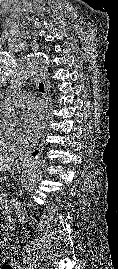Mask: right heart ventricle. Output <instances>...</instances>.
I'll use <instances>...</instances> for the list:
<instances>
[{
  "label": "right heart ventricle",
  "instance_id": "1",
  "mask_svg": "<svg viewBox=\"0 0 118 269\" xmlns=\"http://www.w3.org/2000/svg\"><path fill=\"white\" fill-rule=\"evenodd\" d=\"M15 150H17V149L13 148L12 146L7 145L6 143H4V142H2L0 140V151H3V152H14Z\"/></svg>",
  "mask_w": 118,
  "mask_h": 269
}]
</instances>
